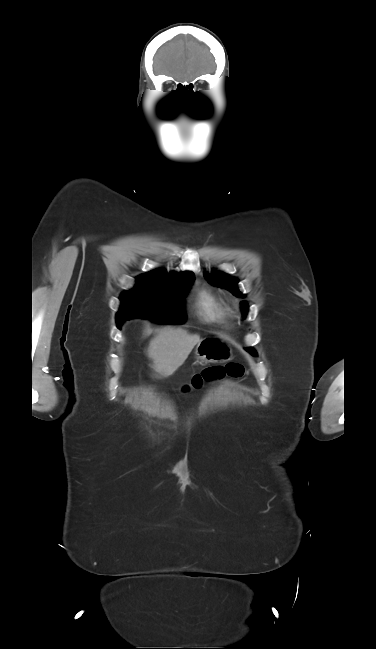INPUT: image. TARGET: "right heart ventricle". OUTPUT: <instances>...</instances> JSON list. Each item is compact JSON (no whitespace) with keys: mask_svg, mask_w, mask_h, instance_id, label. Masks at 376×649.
<instances>
[{"mask_svg":"<svg viewBox=\"0 0 376 649\" xmlns=\"http://www.w3.org/2000/svg\"><path fill=\"white\" fill-rule=\"evenodd\" d=\"M198 314L207 321L227 323L230 311L227 304L214 292L200 289L196 297Z\"/></svg>","mask_w":376,"mask_h":649,"instance_id":"right-heart-ventricle-1","label":"right heart ventricle"}]
</instances>
